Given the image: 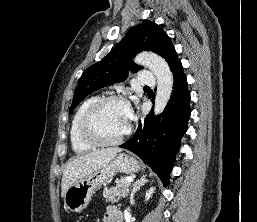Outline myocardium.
<instances>
[{"label":"myocardium","instance_id":"f54148a6","mask_svg":"<svg viewBox=\"0 0 257 222\" xmlns=\"http://www.w3.org/2000/svg\"><path fill=\"white\" fill-rule=\"evenodd\" d=\"M110 103H120L128 107V102L125 98L121 96H107L103 98H99L96 102H94L85 114L82 117L80 124V134L82 138L88 142L89 144L96 147H109L120 144L124 141L131 132V124L127 128V130L118 138L114 140H105L102 139L95 131L93 127V120L97 113L106 105Z\"/></svg>","mask_w":257,"mask_h":222}]
</instances>
